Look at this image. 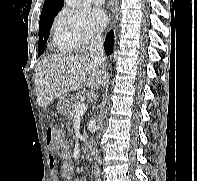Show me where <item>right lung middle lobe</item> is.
Segmentation results:
<instances>
[{
    "instance_id": "dd1d6c3e",
    "label": "right lung middle lobe",
    "mask_w": 197,
    "mask_h": 181,
    "mask_svg": "<svg viewBox=\"0 0 197 181\" xmlns=\"http://www.w3.org/2000/svg\"><path fill=\"white\" fill-rule=\"evenodd\" d=\"M57 14H49L46 16L40 17L39 22V41H38V55H41L47 43V39L50 34V29L53 23V19Z\"/></svg>"
}]
</instances>
